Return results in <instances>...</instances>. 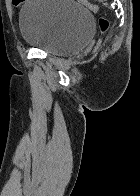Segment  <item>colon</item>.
Wrapping results in <instances>:
<instances>
[{"label":"colon","mask_w":140,"mask_h":196,"mask_svg":"<svg viewBox=\"0 0 140 196\" xmlns=\"http://www.w3.org/2000/svg\"><path fill=\"white\" fill-rule=\"evenodd\" d=\"M20 0H16V2H19ZM78 3H80L81 5L85 6L86 8H88L89 10H91L92 12H97L98 11V6L88 0H77ZM99 27L102 33L106 32L109 28V21L102 17L99 19Z\"/></svg>","instance_id":"colon-1"}]
</instances>
